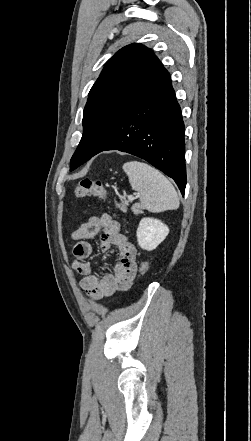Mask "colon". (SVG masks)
<instances>
[{"instance_id": "colon-1", "label": "colon", "mask_w": 251, "mask_h": 441, "mask_svg": "<svg viewBox=\"0 0 251 441\" xmlns=\"http://www.w3.org/2000/svg\"><path fill=\"white\" fill-rule=\"evenodd\" d=\"M74 196L77 198L93 197L99 200H105L106 189L101 181L84 178L75 187ZM148 268V261H143L140 265V273H146Z\"/></svg>"}]
</instances>
